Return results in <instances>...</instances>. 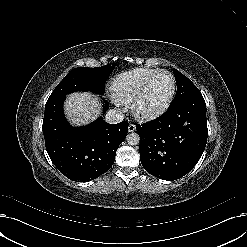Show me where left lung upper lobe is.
<instances>
[{
	"instance_id": "1",
	"label": "left lung upper lobe",
	"mask_w": 247,
	"mask_h": 247,
	"mask_svg": "<svg viewBox=\"0 0 247 247\" xmlns=\"http://www.w3.org/2000/svg\"><path fill=\"white\" fill-rule=\"evenodd\" d=\"M173 73L177 83V92L170 107L179 105L196 95H201L198 88L185 75L176 69H173Z\"/></svg>"
}]
</instances>
